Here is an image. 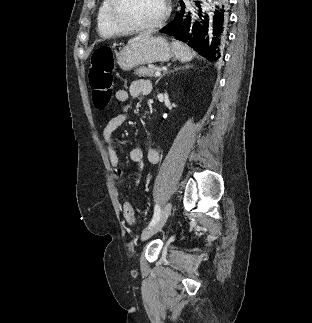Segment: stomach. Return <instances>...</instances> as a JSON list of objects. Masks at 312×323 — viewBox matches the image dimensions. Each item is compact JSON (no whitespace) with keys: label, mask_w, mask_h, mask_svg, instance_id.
Returning <instances> with one entry per match:
<instances>
[{"label":"stomach","mask_w":312,"mask_h":323,"mask_svg":"<svg viewBox=\"0 0 312 323\" xmlns=\"http://www.w3.org/2000/svg\"><path fill=\"white\" fill-rule=\"evenodd\" d=\"M170 58H173V50L164 36L135 38L116 54L117 64L124 72H129L143 64L169 62Z\"/></svg>","instance_id":"stomach-1"}]
</instances>
